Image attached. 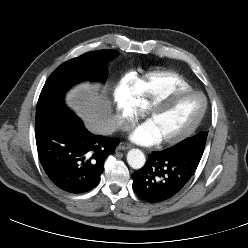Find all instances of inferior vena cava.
Masks as SVG:
<instances>
[{"label": "inferior vena cava", "instance_id": "1", "mask_svg": "<svg viewBox=\"0 0 248 248\" xmlns=\"http://www.w3.org/2000/svg\"><path fill=\"white\" fill-rule=\"evenodd\" d=\"M115 129H121V130H126L127 131V130L131 129V125L127 121H125V120H123L121 118H114L113 131Z\"/></svg>", "mask_w": 248, "mask_h": 248}]
</instances>
